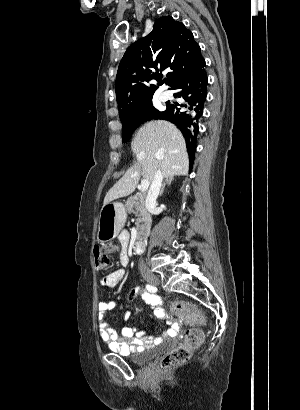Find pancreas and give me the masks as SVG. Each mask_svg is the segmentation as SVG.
Masks as SVG:
<instances>
[{"mask_svg":"<svg viewBox=\"0 0 300 410\" xmlns=\"http://www.w3.org/2000/svg\"><path fill=\"white\" fill-rule=\"evenodd\" d=\"M125 207L129 212H133L137 217L135 224L140 235L144 228L150 226L151 222L150 215L145 206V195L139 194L131 196L128 198Z\"/></svg>","mask_w":300,"mask_h":410,"instance_id":"1","label":"pancreas"}]
</instances>
